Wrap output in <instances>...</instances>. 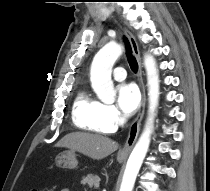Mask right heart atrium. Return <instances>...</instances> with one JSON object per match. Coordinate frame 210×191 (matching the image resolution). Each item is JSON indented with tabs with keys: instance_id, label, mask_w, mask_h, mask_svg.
Instances as JSON below:
<instances>
[{
	"instance_id": "d8ad5b80",
	"label": "right heart atrium",
	"mask_w": 210,
	"mask_h": 191,
	"mask_svg": "<svg viewBox=\"0 0 210 191\" xmlns=\"http://www.w3.org/2000/svg\"><path fill=\"white\" fill-rule=\"evenodd\" d=\"M104 109H105V118L107 119V121L114 126L117 125L121 120L117 108L114 105H104Z\"/></svg>"
}]
</instances>
